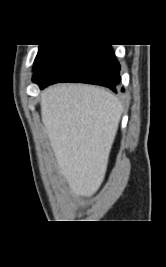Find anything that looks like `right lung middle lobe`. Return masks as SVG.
<instances>
[{
	"label": "right lung middle lobe",
	"instance_id": "dd1d6c3e",
	"mask_svg": "<svg viewBox=\"0 0 166 267\" xmlns=\"http://www.w3.org/2000/svg\"><path fill=\"white\" fill-rule=\"evenodd\" d=\"M52 46L53 45H40L39 50H38V54H37L35 61H34L33 70H35V68L38 66V64L42 60V58L45 56V54L49 51V49Z\"/></svg>",
	"mask_w": 166,
	"mask_h": 267
}]
</instances>
